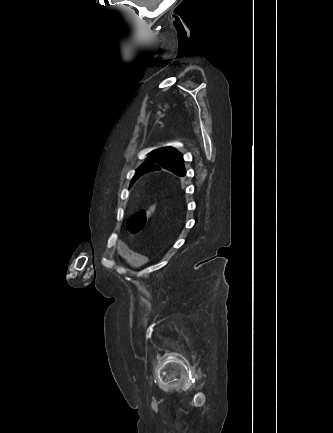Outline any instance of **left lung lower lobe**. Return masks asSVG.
Segmentation results:
<instances>
[{
	"instance_id": "0a47b994",
	"label": "left lung lower lobe",
	"mask_w": 333,
	"mask_h": 433,
	"mask_svg": "<svg viewBox=\"0 0 333 433\" xmlns=\"http://www.w3.org/2000/svg\"><path fill=\"white\" fill-rule=\"evenodd\" d=\"M154 167H147L145 170H149V171H153L152 169H153ZM149 171H147V172H149ZM144 174V173H143ZM143 174H141V175H143ZM141 175H139L134 181H136Z\"/></svg>"
}]
</instances>
